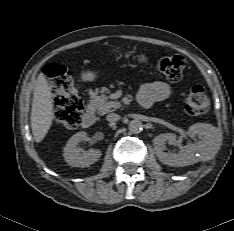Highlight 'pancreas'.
Instances as JSON below:
<instances>
[{
	"label": "pancreas",
	"instance_id": "1",
	"mask_svg": "<svg viewBox=\"0 0 234 231\" xmlns=\"http://www.w3.org/2000/svg\"><path fill=\"white\" fill-rule=\"evenodd\" d=\"M109 93L110 91L108 88L102 87L100 90L97 89L91 94L90 105L100 115H104L120 107L119 102L109 100V97L106 95Z\"/></svg>",
	"mask_w": 234,
	"mask_h": 231
}]
</instances>
